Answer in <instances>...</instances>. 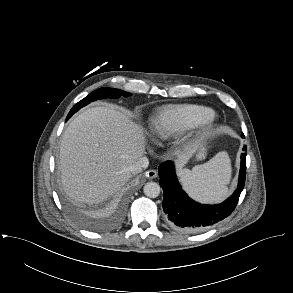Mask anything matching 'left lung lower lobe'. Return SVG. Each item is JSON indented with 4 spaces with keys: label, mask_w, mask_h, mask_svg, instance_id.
I'll return each instance as SVG.
<instances>
[{
    "label": "left lung lower lobe",
    "mask_w": 293,
    "mask_h": 293,
    "mask_svg": "<svg viewBox=\"0 0 293 293\" xmlns=\"http://www.w3.org/2000/svg\"><path fill=\"white\" fill-rule=\"evenodd\" d=\"M243 136V134H242ZM246 149L244 146L243 150ZM246 176V154H241L238 187L221 204L203 205L192 200L181 188L172 161L159 166V184L163 189V210L168 224L183 233L205 231L229 216L235 209L244 188Z\"/></svg>",
    "instance_id": "0a47b994"
}]
</instances>
